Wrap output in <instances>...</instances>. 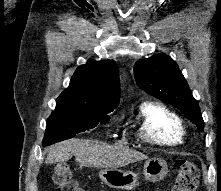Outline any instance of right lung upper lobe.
Listing matches in <instances>:
<instances>
[{"label": "right lung upper lobe", "mask_w": 221, "mask_h": 191, "mask_svg": "<svg viewBox=\"0 0 221 191\" xmlns=\"http://www.w3.org/2000/svg\"><path fill=\"white\" fill-rule=\"evenodd\" d=\"M120 83L113 60H88L71 78L70 85L56 100V107H69L108 113L118 106Z\"/></svg>", "instance_id": "1"}]
</instances>
